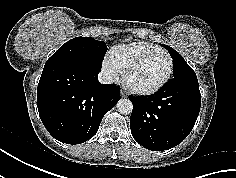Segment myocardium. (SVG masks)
Here are the masks:
<instances>
[{
	"label": "myocardium",
	"mask_w": 236,
	"mask_h": 178,
	"mask_svg": "<svg viewBox=\"0 0 236 178\" xmlns=\"http://www.w3.org/2000/svg\"><path fill=\"white\" fill-rule=\"evenodd\" d=\"M157 55H166L169 58L170 66H169V70H168L166 76L158 84H156L155 86H152V87L142 88V87H137V86L133 85L129 80L133 71H135L142 63H144L148 59H150L154 56H157ZM173 71H174L173 57L167 51H164V50L155 51V52H151L147 55H144L142 57H139L136 60H134L132 63H130L122 73V82H123L124 86L130 92H132L134 94L149 95V94H153V93L157 92L158 90H160L170 80V78L173 75Z\"/></svg>",
	"instance_id": "myocardium-1"
}]
</instances>
